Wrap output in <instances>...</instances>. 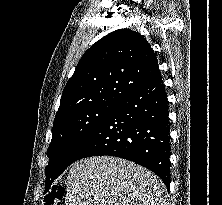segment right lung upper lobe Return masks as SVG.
<instances>
[{"mask_svg": "<svg viewBox=\"0 0 222 205\" xmlns=\"http://www.w3.org/2000/svg\"><path fill=\"white\" fill-rule=\"evenodd\" d=\"M161 75L150 44L137 32L116 30L89 48L68 80L54 122L87 107L120 101Z\"/></svg>", "mask_w": 222, "mask_h": 205, "instance_id": "cb5924a9", "label": "right lung upper lobe"}]
</instances>
